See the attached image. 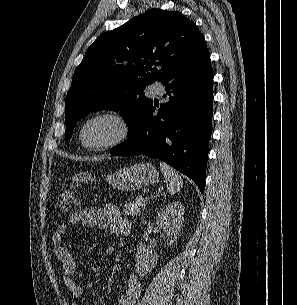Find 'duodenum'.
Wrapping results in <instances>:
<instances>
[{
  "label": "duodenum",
  "instance_id": "duodenum-1",
  "mask_svg": "<svg viewBox=\"0 0 297 305\" xmlns=\"http://www.w3.org/2000/svg\"><path fill=\"white\" fill-rule=\"evenodd\" d=\"M129 232H130V230H128V231L126 232V234L129 233Z\"/></svg>",
  "mask_w": 297,
  "mask_h": 305
}]
</instances>
